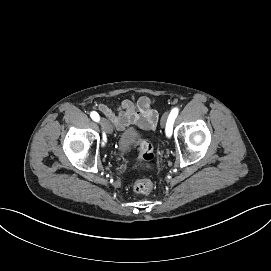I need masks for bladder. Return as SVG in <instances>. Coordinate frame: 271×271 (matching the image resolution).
<instances>
[{
  "label": "bladder",
  "mask_w": 271,
  "mask_h": 271,
  "mask_svg": "<svg viewBox=\"0 0 271 271\" xmlns=\"http://www.w3.org/2000/svg\"><path fill=\"white\" fill-rule=\"evenodd\" d=\"M138 140L132 127H126L121 132V138L117 143V150L120 155L125 156L133 152L134 143Z\"/></svg>",
  "instance_id": "31cf9c89"
}]
</instances>
